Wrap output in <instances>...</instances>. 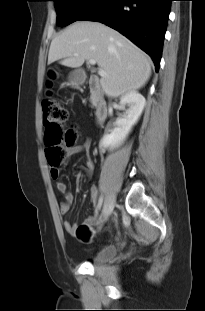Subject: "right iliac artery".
<instances>
[{
  "label": "right iliac artery",
  "instance_id": "right-iliac-artery-1",
  "mask_svg": "<svg viewBox=\"0 0 205 311\" xmlns=\"http://www.w3.org/2000/svg\"><path fill=\"white\" fill-rule=\"evenodd\" d=\"M102 203H103V198L101 197V198H99L96 212L101 208Z\"/></svg>",
  "mask_w": 205,
  "mask_h": 311
}]
</instances>
